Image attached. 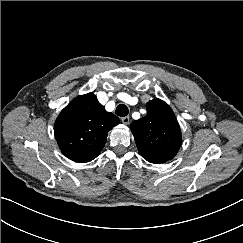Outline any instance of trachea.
<instances>
[{
  "mask_svg": "<svg viewBox=\"0 0 243 243\" xmlns=\"http://www.w3.org/2000/svg\"><path fill=\"white\" fill-rule=\"evenodd\" d=\"M116 115L120 117L127 116L129 113L128 107L124 104H119L115 111Z\"/></svg>",
  "mask_w": 243,
  "mask_h": 243,
  "instance_id": "3493384b",
  "label": "trachea"
}]
</instances>
